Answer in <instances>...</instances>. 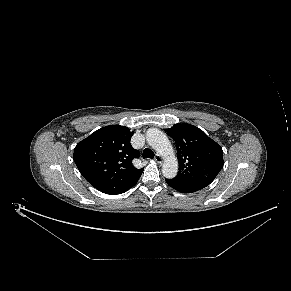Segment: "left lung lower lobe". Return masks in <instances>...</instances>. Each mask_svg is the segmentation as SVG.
Instances as JSON below:
<instances>
[{"instance_id": "obj_1", "label": "left lung lower lobe", "mask_w": 291, "mask_h": 291, "mask_svg": "<svg viewBox=\"0 0 291 291\" xmlns=\"http://www.w3.org/2000/svg\"><path fill=\"white\" fill-rule=\"evenodd\" d=\"M166 182L172 188L182 193H193L205 188L206 186L210 184L206 182L186 183V182H179L174 179L166 180Z\"/></svg>"}]
</instances>
